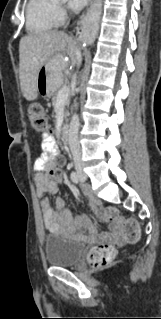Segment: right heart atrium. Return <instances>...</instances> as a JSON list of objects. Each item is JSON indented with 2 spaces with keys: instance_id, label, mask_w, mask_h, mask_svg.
Wrapping results in <instances>:
<instances>
[{
  "instance_id": "d8ad5b80",
  "label": "right heart atrium",
  "mask_w": 161,
  "mask_h": 319,
  "mask_svg": "<svg viewBox=\"0 0 161 319\" xmlns=\"http://www.w3.org/2000/svg\"><path fill=\"white\" fill-rule=\"evenodd\" d=\"M59 10H60V15H61V18H63L64 16H65V13H66V11H65V9L64 8H59Z\"/></svg>"
}]
</instances>
